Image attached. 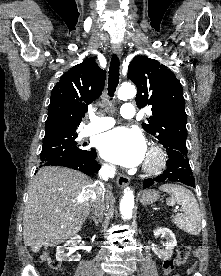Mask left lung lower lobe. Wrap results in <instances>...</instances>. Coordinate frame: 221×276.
I'll list each match as a JSON object with an SVG mask.
<instances>
[{"instance_id":"left-lung-lower-lobe-1","label":"left lung lower lobe","mask_w":221,"mask_h":276,"mask_svg":"<svg viewBox=\"0 0 221 276\" xmlns=\"http://www.w3.org/2000/svg\"><path fill=\"white\" fill-rule=\"evenodd\" d=\"M167 169L155 178H148L143 181V189L152 186L155 182H182L194 186V177L189 165L187 155L179 153L168 155Z\"/></svg>"}]
</instances>
